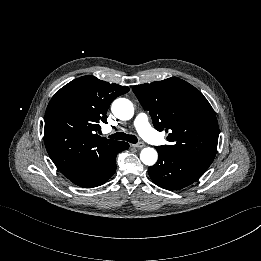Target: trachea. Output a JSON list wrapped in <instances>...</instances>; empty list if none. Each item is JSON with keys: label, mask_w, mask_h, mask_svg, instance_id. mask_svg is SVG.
I'll return each instance as SVG.
<instances>
[{"label": "trachea", "mask_w": 261, "mask_h": 261, "mask_svg": "<svg viewBox=\"0 0 261 261\" xmlns=\"http://www.w3.org/2000/svg\"><path fill=\"white\" fill-rule=\"evenodd\" d=\"M110 138L116 139V140H124L133 144H136L138 142L137 137L132 134H126L124 132H118L115 134L110 135Z\"/></svg>", "instance_id": "1"}]
</instances>
